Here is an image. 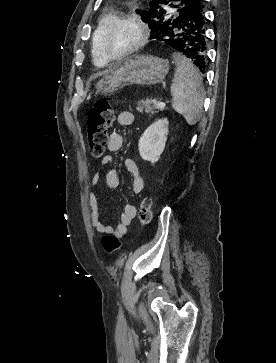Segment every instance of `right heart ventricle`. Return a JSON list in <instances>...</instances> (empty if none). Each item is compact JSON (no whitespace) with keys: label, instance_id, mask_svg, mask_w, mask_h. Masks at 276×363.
<instances>
[{"label":"right heart ventricle","instance_id":"e07e8e85","mask_svg":"<svg viewBox=\"0 0 276 363\" xmlns=\"http://www.w3.org/2000/svg\"><path fill=\"white\" fill-rule=\"evenodd\" d=\"M113 14L111 12H105L101 15L99 21H98V28L94 36L93 40V48H92V54L94 59V64L97 67H104L107 65V62L102 57L100 50H99V36L101 31L104 29V27L111 21L113 18Z\"/></svg>","mask_w":276,"mask_h":363}]
</instances>
